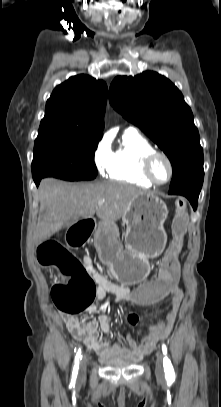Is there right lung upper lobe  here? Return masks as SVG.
I'll use <instances>...</instances> for the list:
<instances>
[{
  "instance_id": "1",
  "label": "right lung upper lobe",
  "mask_w": 221,
  "mask_h": 407,
  "mask_svg": "<svg viewBox=\"0 0 221 407\" xmlns=\"http://www.w3.org/2000/svg\"><path fill=\"white\" fill-rule=\"evenodd\" d=\"M107 94L102 80L83 74L69 78L47 100L39 133L63 132L101 139Z\"/></svg>"
}]
</instances>
